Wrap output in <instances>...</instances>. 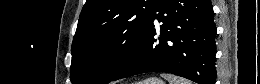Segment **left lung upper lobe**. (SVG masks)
Instances as JSON below:
<instances>
[{
    "label": "left lung upper lobe",
    "instance_id": "left-lung-upper-lobe-1",
    "mask_svg": "<svg viewBox=\"0 0 260 84\" xmlns=\"http://www.w3.org/2000/svg\"><path fill=\"white\" fill-rule=\"evenodd\" d=\"M156 0H87L73 39V84H107L137 50Z\"/></svg>",
    "mask_w": 260,
    "mask_h": 84
}]
</instances>
